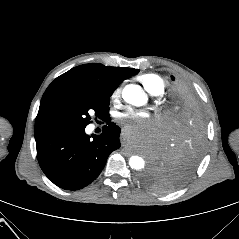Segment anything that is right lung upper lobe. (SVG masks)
<instances>
[{
    "label": "right lung upper lobe",
    "instance_id": "right-lung-upper-lobe-1",
    "mask_svg": "<svg viewBox=\"0 0 239 239\" xmlns=\"http://www.w3.org/2000/svg\"><path fill=\"white\" fill-rule=\"evenodd\" d=\"M138 72L133 68L104 66L99 63L74 67L48 86L39 109L63 97L88 93L112 94L123 80Z\"/></svg>",
    "mask_w": 239,
    "mask_h": 239
}]
</instances>
